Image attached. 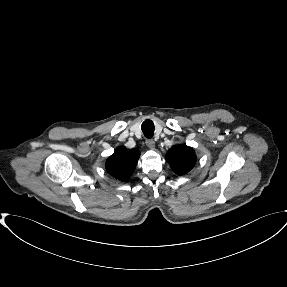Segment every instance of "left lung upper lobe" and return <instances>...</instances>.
<instances>
[{"label": "left lung upper lobe", "mask_w": 287, "mask_h": 287, "mask_svg": "<svg viewBox=\"0 0 287 287\" xmlns=\"http://www.w3.org/2000/svg\"><path fill=\"white\" fill-rule=\"evenodd\" d=\"M166 160L175 173L183 175L194 167L196 155L193 148L177 145L167 152Z\"/></svg>", "instance_id": "obj_1"}]
</instances>
